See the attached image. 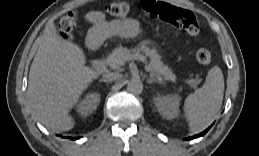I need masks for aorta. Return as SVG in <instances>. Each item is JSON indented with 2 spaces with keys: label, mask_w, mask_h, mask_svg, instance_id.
<instances>
[{
  "label": "aorta",
  "mask_w": 259,
  "mask_h": 156,
  "mask_svg": "<svg viewBox=\"0 0 259 156\" xmlns=\"http://www.w3.org/2000/svg\"><path fill=\"white\" fill-rule=\"evenodd\" d=\"M127 91L131 94H140L143 91V84L139 79H132L127 84Z\"/></svg>",
  "instance_id": "1"
}]
</instances>
